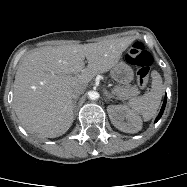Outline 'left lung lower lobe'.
Returning <instances> with one entry per match:
<instances>
[{
  "label": "left lung lower lobe",
  "mask_w": 187,
  "mask_h": 187,
  "mask_svg": "<svg viewBox=\"0 0 187 187\" xmlns=\"http://www.w3.org/2000/svg\"><path fill=\"white\" fill-rule=\"evenodd\" d=\"M166 100H167V96H165V98H164V102H163L162 108H161V110H160L159 115H158L157 118L155 119V122H157V121L161 118V116H162V114H163V112H164V109H165Z\"/></svg>",
  "instance_id": "1"
}]
</instances>
